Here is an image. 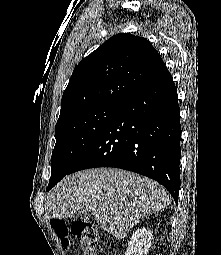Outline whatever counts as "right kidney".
Listing matches in <instances>:
<instances>
[{"mask_svg":"<svg viewBox=\"0 0 221 255\" xmlns=\"http://www.w3.org/2000/svg\"><path fill=\"white\" fill-rule=\"evenodd\" d=\"M153 239L152 232L146 228L137 229L128 242L125 255H147Z\"/></svg>","mask_w":221,"mask_h":255,"instance_id":"ca27d5eb","label":"right kidney"}]
</instances>
